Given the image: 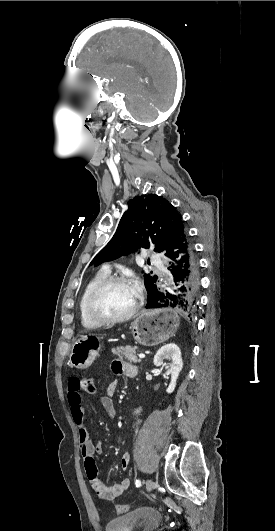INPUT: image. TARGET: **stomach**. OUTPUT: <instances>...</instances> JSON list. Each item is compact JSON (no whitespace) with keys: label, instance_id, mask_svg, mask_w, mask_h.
<instances>
[{"label":"stomach","instance_id":"0dacf381","mask_svg":"<svg viewBox=\"0 0 275 531\" xmlns=\"http://www.w3.org/2000/svg\"><path fill=\"white\" fill-rule=\"evenodd\" d=\"M179 327V317L174 309L142 311L131 323L132 335L139 345L155 347L173 337ZM101 349V339L96 335H81L71 347L69 363L75 369H88Z\"/></svg>","mask_w":275,"mask_h":531}]
</instances>
